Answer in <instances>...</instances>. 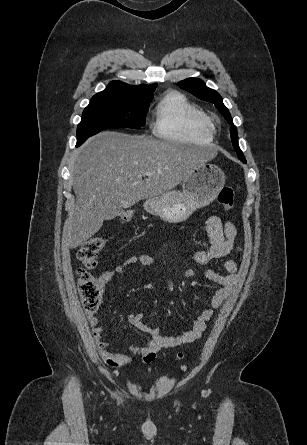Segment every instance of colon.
I'll return each instance as SVG.
<instances>
[{
  "label": "colon",
  "mask_w": 307,
  "mask_h": 445,
  "mask_svg": "<svg viewBox=\"0 0 307 445\" xmlns=\"http://www.w3.org/2000/svg\"><path fill=\"white\" fill-rule=\"evenodd\" d=\"M218 202L225 210H230L234 204V193L232 188L223 187L218 194ZM120 218L128 222L132 218L129 211L123 212ZM106 244V238L95 236L87 240L78 250L77 257L83 265V269L78 271V288L82 299L83 307L88 314L95 313L101 304L103 287L99 279L87 272L98 266V255ZM182 358V354H178Z\"/></svg>",
  "instance_id": "1"
}]
</instances>
